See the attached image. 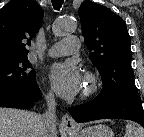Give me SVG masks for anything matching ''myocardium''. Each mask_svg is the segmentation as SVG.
I'll list each match as a JSON object with an SVG mask.
<instances>
[{
    "mask_svg": "<svg viewBox=\"0 0 144 137\" xmlns=\"http://www.w3.org/2000/svg\"><path fill=\"white\" fill-rule=\"evenodd\" d=\"M99 88V79L92 71H87L84 76V87L82 91L83 98H89L94 95Z\"/></svg>",
    "mask_w": 144,
    "mask_h": 137,
    "instance_id": "myocardium-1",
    "label": "myocardium"
}]
</instances>
